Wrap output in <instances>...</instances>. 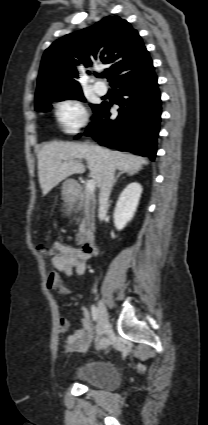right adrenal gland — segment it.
<instances>
[{
    "label": "right adrenal gland",
    "mask_w": 208,
    "mask_h": 425,
    "mask_svg": "<svg viewBox=\"0 0 208 425\" xmlns=\"http://www.w3.org/2000/svg\"><path fill=\"white\" fill-rule=\"evenodd\" d=\"M122 174H126L127 176H133V175H135V172H131V171H128V172H126V171H121V172H119V173L117 174V176H116L115 180H114V184H116V183H117V181H118L119 177H120Z\"/></svg>",
    "instance_id": "obj_1"
}]
</instances>
